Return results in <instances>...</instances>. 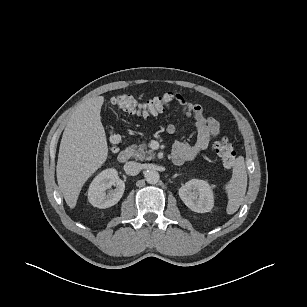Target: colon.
<instances>
[{
    "mask_svg": "<svg viewBox=\"0 0 307 307\" xmlns=\"http://www.w3.org/2000/svg\"><path fill=\"white\" fill-rule=\"evenodd\" d=\"M172 100L173 97L170 93L147 101H138L130 94L121 93L112 97L109 100V104L131 114L155 115L168 106ZM120 140L121 138L118 133L114 131L110 132L109 141L113 151L117 150ZM215 150L220 157L223 166L225 168H231L235 162L236 153L228 138L223 137L221 140L216 142Z\"/></svg>",
    "mask_w": 307,
    "mask_h": 307,
    "instance_id": "colon-1",
    "label": "colon"
}]
</instances>
